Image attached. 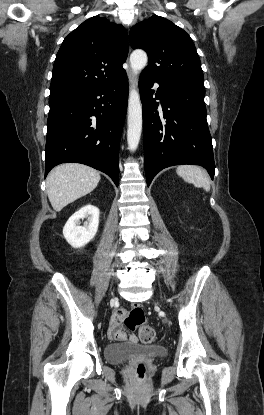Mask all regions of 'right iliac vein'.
<instances>
[{"label":"right iliac vein","mask_w":264,"mask_h":415,"mask_svg":"<svg viewBox=\"0 0 264 415\" xmlns=\"http://www.w3.org/2000/svg\"><path fill=\"white\" fill-rule=\"evenodd\" d=\"M116 302V298H113L112 300H111V304H114Z\"/></svg>","instance_id":"1"}]
</instances>
